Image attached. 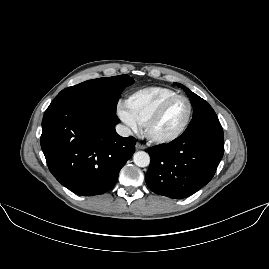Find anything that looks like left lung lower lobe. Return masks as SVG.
I'll list each match as a JSON object with an SVG mask.
<instances>
[{"instance_id": "0a47b994", "label": "left lung lower lobe", "mask_w": 269, "mask_h": 269, "mask_svg": "<svg viewBox=\"0 0 269 269\" xmlns=\"http://www.w3.org/2000/svg\"><path fill=\"white\" fill-rule=\"evenodd\" d=\"M148 152L151 162L145 180L149 189L183 199L213 178L224 153L223 129L181 135L168 144L150 147Z\"/></svg>"}]
</instances>
